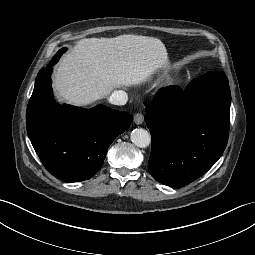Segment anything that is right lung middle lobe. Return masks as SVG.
<instances>
[{
    "label": "right lung middle lobe",
    "instance_id": "1",
    "mask_svg": "<svg viewBox=\"0 0 255 255\" xmlns=\"http://www.w3.org/2000/svg\"><path fill=\"white\" fill-rule=\"evenodd\" d=\"M66 51V48H62L60 49L56 55L52 58V60L49 62L48 65H54L55 63H57V61L59 60L60 56L62 55L63 52Z\"/></svg>",
    "mask_w": 255,
    "mask_h": 255
}]
</instances>
